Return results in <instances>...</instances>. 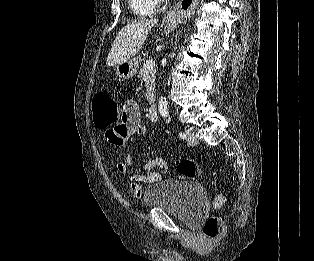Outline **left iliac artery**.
Segmentation results:
<instances>
[{
    "mask_svg": "<svg viewBox=\"0 0 314 261\" xmlns=\"http://www.w3.org/2000/svg\"><path fill=\"white\" fill-rule=\"evenodd\" d=\"M179 137H180L181 139H185V138H186V134L183 133V132H180V133H179Z\"/></svg>",
    "mask_w": 314,
    "mask_h": 261,
    "instance_id": "left-iliac-artery-1",
    "label": "left iliac artery"
}]
</instances>
